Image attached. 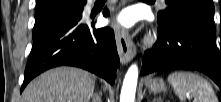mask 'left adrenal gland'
<instances>
[{
	"instance_id": "left-adrenal-gland-1",
	"label": "left adrenal gland",
	"mask_w": 221,
	"mask_h": 102,
	"mask_svg": "<svg viewBox=\"0 0 221 102\" xmlns=\"http://www.w3.org/2000/svg\"><path fill=\"white\" fill-rule=\"evenodd\" d=\"M153 102H162L161 98H157L155 100H153Z\"/></svg>"
}]
</instances>
